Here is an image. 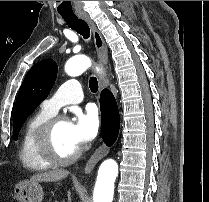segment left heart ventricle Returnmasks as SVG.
<instances>
[{
    "label": "left heart ventricle",
    "mask_w": 209,
    "mask_h": 202,
    "mask_svg": "<svg viewBox=\"0 0 209 202\" xmlns=\"http://www.w3.org/2000/svg\"><path fill=\"white\" fill-rule=\"evenodd\" d=\"M53 145L56 152L64 157L73 154L79 148L72 140L67 121L60 123L55 129Z\"/></svg>",
    "instance_id": "b2bd125f"
}]
</instances>
